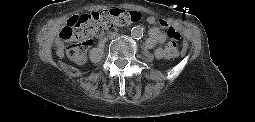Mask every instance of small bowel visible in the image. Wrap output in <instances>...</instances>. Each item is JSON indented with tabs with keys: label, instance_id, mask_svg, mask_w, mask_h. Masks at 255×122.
I'll return each instance as SVG.
<instances>
[{
	"label": "small bowel",
	"instance_id": "c3829d8e",
	"mask_svg": "<svg viewBox=\"0 0 255 122\" xmlns=\"http://www.w3.org/2000/svg\"><path fill=\"white\" fill-rule=\"evenodd\" d=\"M147 21L150 24H159V25H161V23L166 24L164 20H161V19L156 20L153 17H149ZM165 40H166V35L164 34V32L158 26H154L149 31V36L146 41V47L148 49L154 48V54L156 58L161 59L164 56V51L162 48L157 47V45L162 44Z\"/></svg>",
	"mask_w": 255,
	"mask_h": 122
}]
</instances>
